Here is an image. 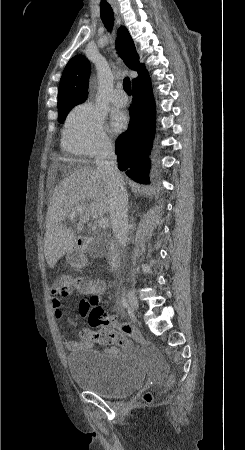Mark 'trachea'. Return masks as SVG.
Returning a JSON list of instances; mask_svg holds the SVG:
<instances>
[{
    "instance_id": "1",
    "label": "trachea",
    "mask_w": 245,
    "mask_h": 450,
    "mask_svg": "<svg viewBox=\"0 0 245 450\" xmlns=\"http://www.w3.org/2000/svg\"><path fill=\"white\" fill-rule=\"evenodd\" d=\"M100 11H101V19L108 31L112 30L113 27V21H114V14L111 6L107 1H102L100 4ZM123 87L124 90L131 95V82L128 77H126L123 81Z\"/></svg>"
}]
</instances>
